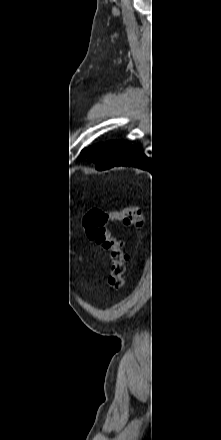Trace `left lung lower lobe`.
Segmentation results:
<instances>
[{
	"label": "left lung lower lobe",
	"instance_id": "obj_1",
	"mask_svg": "<svg viewBox=\"0 0 221 440\" xmlns=\"http://www.w3.org/2000/svg\"><path fill=\"white\" fill-rule=\"evenodd\" d=\"M114 166L137 167V168L149 170L151 172H153L155 169L154 162L152 163L150 161V158H148V156L143 152L141 147L138 145H130L124 157L109 168H112Z\"/></svg>",
	"mask_w": 221,
	"mask_h": 440
}]
</instances>
